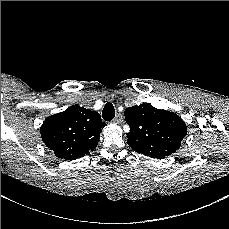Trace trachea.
I'll return each mask as SVG.
<instances>
[{
  "label": "trachea",
  "instance_id": "trachea-1",
  "mask_svg": "<svg viewBox=\"0 0 229 229\" xmlns=\"http://www.w3.org/2000/svg\"><path fill=\"white\" fill-rule=\"evenodd\" d=\"M102 117L105 121H110L115 117V109L111 102H107L102 111Z\"/></svg>",
  "mask_w": 229,
  "mask_h": 229
}]
</instances>
